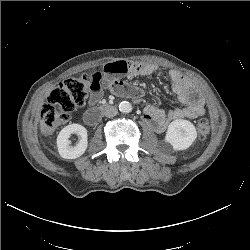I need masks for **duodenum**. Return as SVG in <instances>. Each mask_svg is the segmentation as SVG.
<instances>
[{
    "label": "duodenum",
    "instance_id": "duodenum-1",
    "mask_svg": "<svg viewBox=\"0 0 250 250\" xmlns=\"http://www.w3.org/2000/svg\"><path fill=\"white\" fill-rule=\"evenodd\" d=\"M109 107L107 104H100L84 113V121L89 125H95L101 119L103 112Z\"/></svg>",
    "mask_w": 250,
    "mask_h": 250
}]
</instances>
